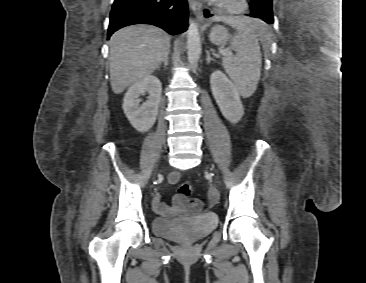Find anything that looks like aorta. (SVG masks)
I'll use <instances>...</instances> for the list:
<instances>
[{
    "label": "aorta",
    "instance_id": "obj_1",
    "mask_svg": "<svg viewBox=\"0 0 366 283\" xmlns=\"http://www.w3.org/2000/svg\"><path fill=\"white\" fill-rule=\"evenodd\" d=\"M201 53L200 34L197 24L190 20L187 30V58L191 65L199 59Z\"/></svg>",
    "mask_w": 366,
    "mask_h": 283
}]
</instances>
